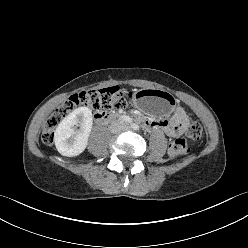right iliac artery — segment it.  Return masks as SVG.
Instances as JSON below:
<instances>
[{
	"label": "right iliac artery",
	"mask_w": 248,
	"mask_h": 248,
	"mask_svg": "<svg viewBox=\"0 0 248 248\" xmlns=\"http://www.w3.org/2000/svg\"><path fill=\"white\" fill-rule=\"evenodd\" d=\"M121 119L126 121V122L131 123V118L129 116H121Z\"/></svg>",
	"instance_id": "1"
}]
</instances>
